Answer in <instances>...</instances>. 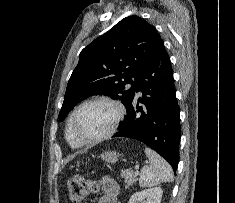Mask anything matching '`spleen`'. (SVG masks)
I'll return each mask as SVG.
<instances>
[{"label":"spleen","instance_id":"obj_1","mask_svg":"<svg viewBox=\"0 0 235 203\" xmlns=\"http://www.w3.org/2000/svg\"><path fill=\"white\" fill-rule=\"evenodd\" d=\"M145 153L150 164L141 169L139 185L153 187L163 182H172L174 177L171 166L150 148H145Z\"/></svg>","mask_w":235,"mask_h":203}]
</instances>
